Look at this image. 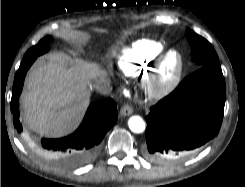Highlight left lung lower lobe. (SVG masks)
<instances>
[{"instance_id": "1", "label": "left lung lower lobe", "mask_w": 245, "mask_h": 187, "mask_svg": "<svg viewBox=\"0 0 245 187\" xmlns=\"http://www.w3.org/2000/svg\"><path fill=\"white\" fill-rule=\"evenodd\" d=\"M225 80L218 62L200 67L146 116V155L172 161L199 149L221 127Z\"/></svg>"}]
</instances>
